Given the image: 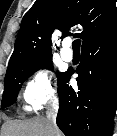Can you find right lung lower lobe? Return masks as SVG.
I'll use <instances>...</instances> for the list:
<instances>
[{"label": "right lung lower lobe", "mask_w": 117, "mask_h": 136, "mask_svg": "<svg viewBox=\"0 0 117 136\" xmlns=\"http://www.w3.org/2000/svg\"><path fill=\"white\" fill-rule=\"evenodd\" d=\"M81 57L78 88L68 84L73 71L58 80L57 125L66 136H111L117 107V25L83 43Z\"/></svg>", "instance_id": "98d812e1"}]
</instances>
